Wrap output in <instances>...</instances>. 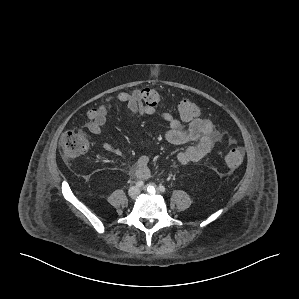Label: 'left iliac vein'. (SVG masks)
<instances>
[{
  "label": "left iliac vein",
  "mask_w": 299,
  "mask_h": 299,
  "mask_svg": "<svg viewBox=\"0 0 299 299\" xmlns=\"http://www.w3.org/2000/svg\"><path fill=\"white\" fill-rule=\"evenodd\" d=\"M148 188H152L153 189V192L156 193V194H159V189L156 187L155 184H150V185H147L145 187H143V190H147Z\"/></svg>",
  "instance_id": "4c4485c4"
}]
</instances>
